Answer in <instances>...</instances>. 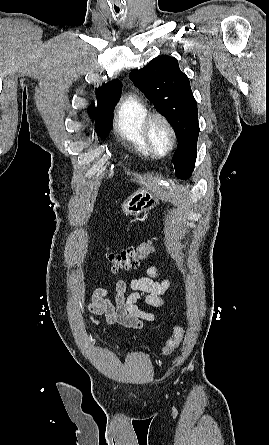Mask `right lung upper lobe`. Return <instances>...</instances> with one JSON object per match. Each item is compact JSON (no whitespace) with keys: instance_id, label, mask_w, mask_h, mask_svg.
<instances>
[{"instance_id":"1","label":"right lung upper lobe","mask_w":269,"mask_h":445,"mask_svg":"<svg viewBox=\"0 0 269 445\" xmlns=\"http://www.w3.org/2000/svg\"><path fill=\"white\" fill-rule=\"evenodd\" d=\"M121 91L122 83L118 80H113L101 86L96 90L97 107H107L116 104L121 96Z\"/></svg>"}]
</instances>
